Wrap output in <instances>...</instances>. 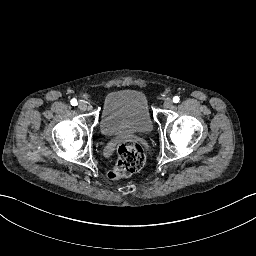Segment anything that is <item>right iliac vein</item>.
Listing matches in <instances>:
<instances>
[{
  "mask_svg": "<svg viewBox=\"0 0 256 256\" xmlns=\"http://www.w3.org/2000/svg\"><path fill=\"white\" fill-rule=\"evenodd\" d=\"M78 108L81 110V111H86L87 108H88V105L85 101H81L78 105Z\"/></svg>",
  "mask_w": 256,
  "mask_h": 256,
  "instance_id": "right-iliac-vein-1",
  "label": "right iliac vein"
}]
</instances>
